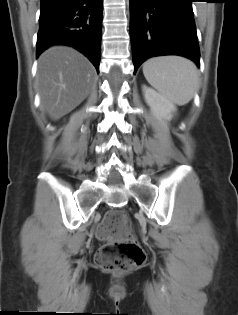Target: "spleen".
<instances>
[{
  "label": "spleen",
  "mask_w": 238,
  "mask_h": 315,
  "mask_svg": "<svg viewBox=\"0 0 238 315\" xmlns=\"http://www.w3.org/2000/svg\"><path fill=\"white\" fill-rule=\"evenodd\" d=\"M143 74L160 95L177 105H185L199 88L196 65L184 57H154L144 62Z\"/></svg>",
  "instance_id": "1"
}]
</instances>
